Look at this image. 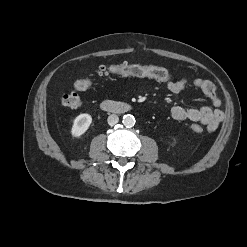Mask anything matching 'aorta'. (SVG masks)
Listing matches in <instances>:
<instances>
[{
  "label": "aorta",
  "mask_w": 247,
  "mask_h": 247,
  "mask_svg": "<svg viewBox=\"0 0 247 247\" xmlns=\"http://www.w3.org/2000/svg\"><path fill=\"white\" fill-rule=\"evenodd\" d=\"M123 124L126 127H133L135 125V118L133 115L127 114L123 116Z\"/></svg>",
  "instance_id": "1"
}]
</instances>
